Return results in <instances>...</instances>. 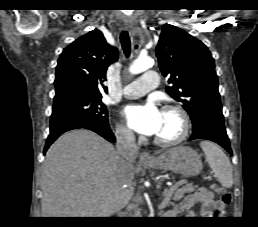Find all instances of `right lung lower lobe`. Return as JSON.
Wrapping results in <instances>:
<instances>
[{
  "label": "right lung lower lobe",
  "mask_w": 258,
  "mask_h": 227,
  "mask_svg": "<svg viewBox=\"0 0 258 227\" xmlns=\"http://www.w3.org/2000/svg\"><path fill=\"white\" fill-rule=\"evenodd\" d=\"M50 123V134L46 141L44 153L62 133L77 128H86L92 130L107 139L108 141L112 143L115 142L114 134L112 133L108 125L100 126L86 121L82 118L64 114L51 116Z\"/></svg>",
  "instance_id": "right-lung-lower-lobe-1"
}]
</instances>
